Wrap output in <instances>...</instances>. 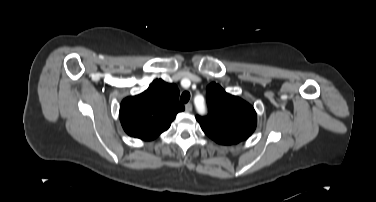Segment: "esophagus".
I'll return each mask as SVG.
<instances>
[{"mask_svg":"<svg viewBox=\"0 0 376 202\" xmlns=\"http://www.w3.org/2000/svg\"><path fill=\"white\" fill-rule=\"evenodd\" d=\"M185 109H186L187 112H191L192 111V104L191 103H187L185 105Z\"/></svg>","mask_w":376,"mask_h":202,"instance_id":"1","label":"esophagus"}]
</instances>
